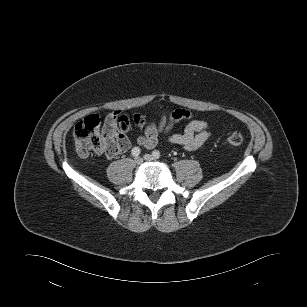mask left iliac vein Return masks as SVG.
I'll return each mask as SVG.
<instances>
[{
    "instance_id": "left-iliac-vein-1",
    "label": "left iliac vein",
    "mask_w": 307,
    "mask_h": 307,
    "mask_svg": "<svg viewBox=\"0 0 307 307\" xmlns=\"http://www.w3.org/2000/svg\"><path fill=\"white\" fill-rule=\"evenodd\" d=\"M144 159L146 161H154L155 160V158L152 155H150V154H145L144 155Z\"/></svg>"
}]
</instances>
